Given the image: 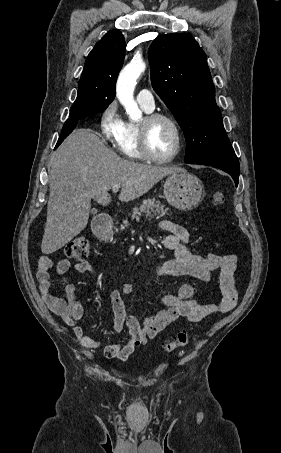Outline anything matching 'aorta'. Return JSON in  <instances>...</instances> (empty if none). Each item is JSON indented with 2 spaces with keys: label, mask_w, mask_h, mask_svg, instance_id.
<instances>
[{
  "label": "aorta",
  "mask_w": 281,
  "mask_h": 453,
  "mask_svg": "<svg viewBox=\"0 0 281 453\" xmlns=\"http://www.w3.org/2000/svg\"><path fill=\"white\" fill-rule=\"evenodd\" d=\"M146 64L141 59L132 60L120 72L117 84L116 95L118 100L125 108L129 118L138 121L142 117V112L134 100V89L140 75L145 71Z\"/></svg>",
  "instance_id": "1"
}]
</instances>
